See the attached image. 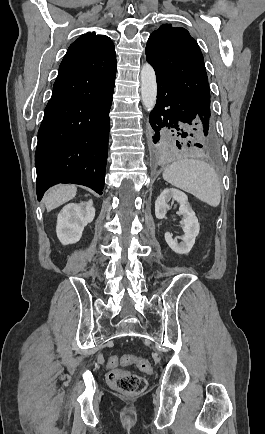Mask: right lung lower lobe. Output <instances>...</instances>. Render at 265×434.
<instances>
[{
	"mask_svg": "<svg viewBox=\"0 0 265 434\" xmlns=\"http://www.w3.org/2000/svg\"><path fill=\"white\" fill-rule=\"evenodd\" d=\"M115 76V51L68 49L38 131V200L57 183L102 194Z\"/></svg>",
	"mask_w": 265,
	"mask_h": 434,
	"instance_id": "right-lung-lower-lobe-1",
	"label": "right lung lower lobe"
}]
</instances>
